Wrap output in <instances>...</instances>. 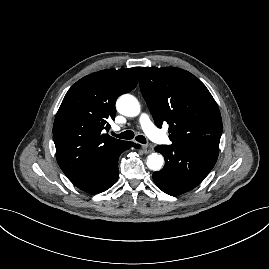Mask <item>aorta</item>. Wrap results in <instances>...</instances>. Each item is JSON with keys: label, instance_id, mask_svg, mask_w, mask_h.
I'll list each match as a JSON object with an SVG mask.
<instances>
[{"label": "aorta", "instance_id": "obj_1", "mask_svg": "<svg viewBox=\"0 0 269 269\" xmlns=\"http://www.w3.org/2000/svg\"><path fill=\"white\" fill-rule=\"evenodd\" d=\"M116 108L120 114L128 117H135L140 113L138 100L130 94L120 96ZM146 165L152 171H160L164 165V157L159 153H152L147 157Z\"/></svg>", "mask_w": 269, "mask_h": 269}]
</instances>
